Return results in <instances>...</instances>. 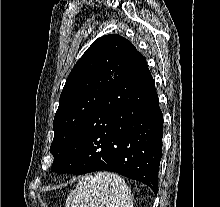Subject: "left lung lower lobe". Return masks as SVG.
Segmentation results:
<instances>
[{
  "instance_id": "obj_1",
  "label": "left lung lower lobe",
  "mask_w": 220,
  "mask_h": 207,
  "mask_svg": "<svg viewBox=\"0 0 220 207\" xmlns=\"http://www.w3.org/2000/svg\"><path fill=\"white\" fill-rule=\"evenodd\" d=\"M162 137L155 83L145 58L137 52L51 169L77 175L112 171L146 184L157 194Z\"/></svg>"
}]
</instances>
